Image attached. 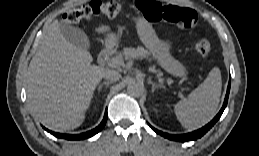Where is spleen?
<instances>
[{"label":"spleen","mask_w":259,"mask_h":156,"mask_svg":"<svg viewBox=\"0 0 259 156\" xmlns=\"http://www.w3.org/2000/svg\"><path fill=\"white\" fill-rule=\"evenodd\" d=\"M222 88L221 72L214 67L188 98L174 106L181 125L193 130L207 124L216 114Z\"/></svg>","instance_id":"3e777b00"}]
</instances>
